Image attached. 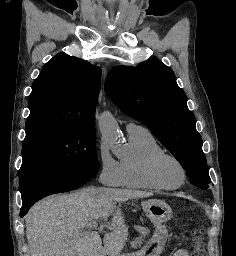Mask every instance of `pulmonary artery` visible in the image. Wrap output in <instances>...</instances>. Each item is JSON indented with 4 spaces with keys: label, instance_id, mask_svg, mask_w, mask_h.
I'll return each instance as SVG.
<instances>
[{
    "label": "pulmonary artery",
    "instance_id": "e3ab8cb5",
    "mask_svg": "<svg viewBox=\"0 0 236 256\" xmlns=\"http://www.w3.org/2000/svg\"><path fill=\"white\" fill-rule=\"evenodd\" d=\"M126 132L128 135L144 130L145 128L135 122H129L125 125Z\"/></svg>",
    "mask_w": 236,
    "mask_h": 256
}]
</instances>
